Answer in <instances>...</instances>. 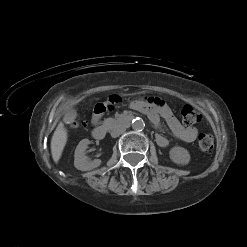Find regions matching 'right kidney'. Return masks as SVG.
Returning <instances> with one entry per match:
<instances>
[{
	"mask_svg": "<svg viewBox=\"0 0 247 247\" xmlns=\"http://www.w3.org/2000/svg\"><path fill=\"white\" fill-rule=\"evenodd\" d=\"M89 144L90 141L88 139H83L79 142L78 146L76 147L74 155V166L78 170L89 171L101 165L100 159L89 161L88 157L85 155V150L87 149Z\"/></svg>",
	"mask_w": 247,
	"mask_h": 247,
	"instance_id": "right-kidney-1",
	"label": "right kidney"
}]
</instances>
